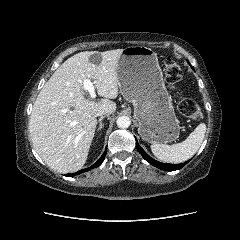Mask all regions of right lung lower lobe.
<instances>
[{
  "label": "right lung lower lobe",
  "instance_id": "obj_1",
  "mask_svg": "<svg viewBox=\"0 0 240 240\" xmlns=\"http://www.w3.org/2000/svg\"><path fill=\"white\" fill-rule=\"evenodd\" d=\"M105 156H106V150L104 151V153L102 154V156L99 158V160H98L97 162H95L91 167L86 168V169H82V170H80V171H78V172H76V173L67 174V175H68V176H74V175L81 174L82 172H86V171H88V170H90V169L96 168V167H98V166H100V165L102 164Z\"/></svg>",
  "mask_w": 240,
  "mask_h": 240
}]
</instances>
